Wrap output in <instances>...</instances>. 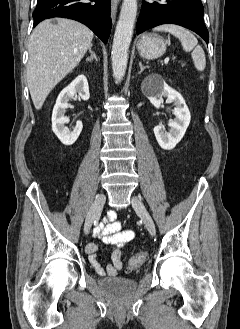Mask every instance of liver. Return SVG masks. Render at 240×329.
Returning <instances> with one entry per match:
<instances>
[{
	"label": "liver",
	"mask_w": 240,
	"mask_h": 329,
	"mask_svg": "<svg viewBox=\"0 0 240 329\" xmlns=\"http://www.w3.org/2000/svg\"><path fill=\"white\" fill-rule=\"evenodd\" d=\"M92 39L90 29L68 19L45 20L34 29L28 44L27 83L37 110L79 64L92 46Z\"/></svg>",
	"instance_id": "6515ba94"
}]
</instances>
